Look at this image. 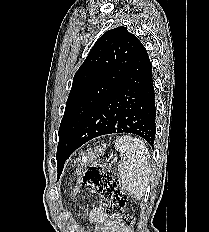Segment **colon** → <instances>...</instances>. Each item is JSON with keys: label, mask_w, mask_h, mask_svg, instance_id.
Instances as JSON below:
<instances>
[{"label": "colon", "mask_w": 209, "mask_h": 232, "mask_svg": "<svg viewBox=\"0 0 209 232\" xmlns=\"http://www.w3.org/2000/svg\"><path fill=\"white\" fill-rule=\"evenodd\" d=\"M82 182L96 192L106 203L109 217L127 225L134 224V218L125 212L127 196L114 175L100 163L89 166L82 177Z\"/></svg>", "instance_id": "1"}]
</instances>
